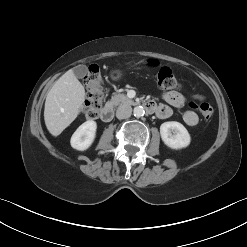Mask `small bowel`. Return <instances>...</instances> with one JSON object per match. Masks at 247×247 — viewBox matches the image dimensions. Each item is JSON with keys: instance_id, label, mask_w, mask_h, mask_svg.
Listing matches in <instances>:
<instances>
[{"instance_id": "c3829d8e", "label": "small bowel", "mask_w": 247, "mask_h": 247, "mask_svg": "<svg viewBox=\"0 0 247 247\" xmlns=\"http://www.w3.org/2000/svg\"><path fill=\"white\" fill-rule=\"evenodd\" d=\"M193 98L195 100H202L203 97L200 95H194ZM163 99L167 104H160L156 106V115L161 119L169 118L172 113V107L181 108L186 103V98L179 92L170 91L163 94ZM191 107H193L194 103L192 102ZM183 121L188 126H195L198 124L199 118L198 115L193 110H186L182 115Z\"/></svg>"}]
</instances>
